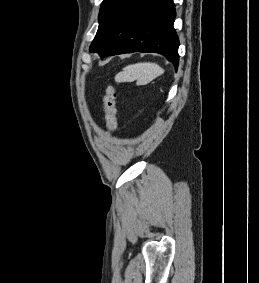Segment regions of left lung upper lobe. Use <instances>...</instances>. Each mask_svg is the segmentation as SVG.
I'll use <instances>...</instances> for the list:
<instances>
[{
	"instance_id": "left-lung-upper-lobe-1",
	"label": "left lung upper lobe",
	"mask_w": 259,
	"mask_h": 283,
	"mask_svg": "<svg viewBox=\"0 0 259 283\" xmlns=\"http://www.w3.org/2000/svg\"><path fill=\"white\" fill-rule=\"evenodd\" d=\"M124 0H104L99 12V28L92 43L98 41L107 29Z\"/></svg>"
}]
</instances>
